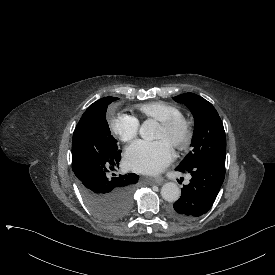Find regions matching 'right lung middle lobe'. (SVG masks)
<instances>
[{"label": "right lung middle lobe", "instance_id": "dd1d6c3e", "mask_svg": "<svg viewBox=\"0 0 275 275\" xmlns=\"http://www.w3.org/2000/svg\"><path fill=\"white\" fill-rule=\"evenodd\" d=\"M116 100L104 97L90 105L72 141V169L82 197L97 216L106 220L128 214L139 179L120 160L121 151L106 121L107 107Z\"/></svg>", "mask_w": 275, "mask_h": 275}]
</instances>
